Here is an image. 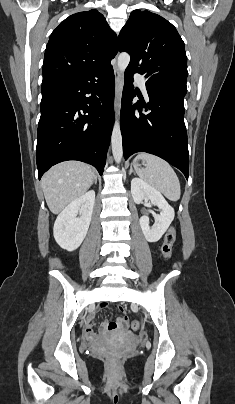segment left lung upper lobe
Segmentation results:
<instances>
[{
    "label": "left lung upper lobe",
    "instance_id": "5c2ea615",
    "mask_svg": "<svg viewBox=\"0 0 235 404\" xmlns=\"http://www.w3.org/2000/svg\"><path fill=\"white\" fill-rule=\"evenodd\" d=\"M119 48L131 56L127 70L144 74L147 87L185 96L184 42L166 19L149 11H133L119 34Z\"/></svg>",
    "mask_w": 235,
    "mask_h": 404
}]
</instances>
